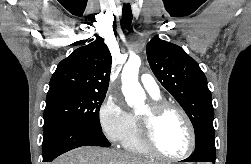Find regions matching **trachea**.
<instances>
[{
  "instance_id": "3493384b",
  "label": "trachea",
  "mask_w": 251,
  "mask_h": 164,
  "mask_svg": "<svg viewBox=\"0 0 251 164\" xmlns=\"http://www.w3.org/2000/svg\"><path fill=\"white\" fill-rule=\"evenodd\" d=\"M122 19L126 27H130L132 23V10L130 4H123Z\"/></svg>"
}]
</instances>
